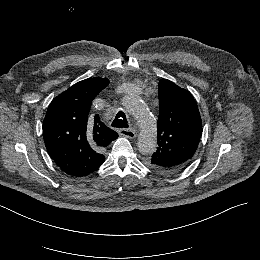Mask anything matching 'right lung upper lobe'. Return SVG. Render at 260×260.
Returning <instances> with one entry per match:
<instances>
[{"instance_id": "obj_1", "label": "right lung upper lobe", "mask_w": 260, "mask_h": 260, "mask_svg": "<svg viewBox=\"0 0 260 260\" xmlns=\"http://www.w3.org/2000/svg\"><path fill=\"white\" fill-rule=\"evenodd\" d=\"M108 83L106 78L80 81L49 105L44 142L55 163L70 175L84 176L99 168L105 160L104 148L118 137L98 115H89L92 100Z\"/></svg>"}]
</instances>
